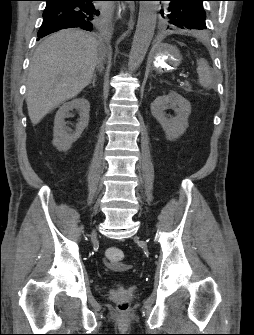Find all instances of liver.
<instances>
[{
    "label": "liver",
    "mask_w": 254,
    "mask_h": 335,
    "mask_svg": "<svg viewBox=\"0 0 254 335\" xmlns=\"http://www.w3.org/2000/svg\"><path fill=\"white\" fill-rule=\"evenodd\" d=\"M109 47L90 34L65 29L44 39L29 67L26 103L33 125L76 97L92 80Z\"/></svg>",
    "instance_id": "obj_1"
}]
</instances>
